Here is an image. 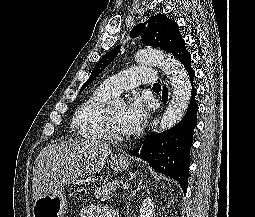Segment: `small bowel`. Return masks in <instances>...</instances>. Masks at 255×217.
<instances>
[{
  "label": "small bowel",
  "instance_id": "1",
  "mask_svg": "<svg viewBox=\"0 0 255 217\" xmlns=\"http://www.w3.org/2000/svg\"><path fill=\"white\" fill-rule=\"evenodd\" d=\"M79 217H119L118 214L102 205H87L82 208Z\"/></svg>",
  "mask_w": 255,
  "mask_h": 217
}]
</instances>
